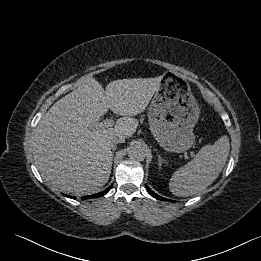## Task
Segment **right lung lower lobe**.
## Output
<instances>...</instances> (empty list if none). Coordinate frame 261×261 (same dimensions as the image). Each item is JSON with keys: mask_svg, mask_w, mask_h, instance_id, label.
Returning <instances> with one entry per match:
<instances>
[{"mask_svg": "<svg viewBox=\"0 0 261 261\" xmlns=\"http://www.w3.org/2000/svg\"><path fill=\"white\" fill-rule=\"evenodd\" d=\"M111 186H109L106 190L100 192V193H97V194H93V195H88V196H85L83 197L82 199H90V198H97V197H101L103 195H105L109 190H110ZM68 196V195H66ZM69 198H72V199H75V197L73 196H68Z\"/></svg>", "mask_w": 261, "mask_h": 261, "instance_id": "obj_1", "label": "right lung lower lobe"}]
</instances>
